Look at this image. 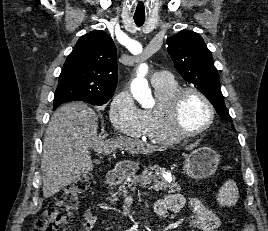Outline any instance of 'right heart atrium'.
Wrapping results in <instances>:
<instances>
[{"label":"right heart atrium","mask_w":268,"mask_h":231,"mask_svg":"<svg viewBox=\"0 0 268 231\" xmlns=\"http://www.w3.org/2000/svg\"><path fill=\"white\" fill-rule=\"evenodd\" d=\"M109 117L117 132L133 138H143L141 109L138 108L127 89L120 90L112 98Z\"/></svg>","instance_id":"d8ad5b80"}]
</instances>
